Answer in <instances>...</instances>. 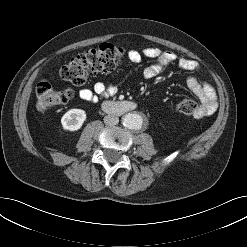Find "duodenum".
Returning a JSON list of instances; mask_svg holds the SVG:
<instances>
[{"label": "duodenum", "instance_id": "410a0bca", "mask_svg": "<svg viewBox=\"0 0 247 247\" xmlns=\"http://www.w3.org/2000/svg\"><path fill=\"white\" fill-rule=\"evenodd\" d=\"M103 109L114 115H122L132 112L138 108V105L129 100L124 101H105L102 105Z\"/></svg>", "mask_w": 247, "mask_h": 247}]
</instances>
